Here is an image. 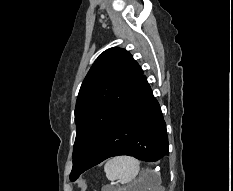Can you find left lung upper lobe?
I'll list each match as a JSON object with an SVG mask.
<instances>
[{
	"label": "left lung upper lobe",
	"mask_w": 233,
	"mask_h": 191,
	"mask_svg": "<svg viewBox=\"0 0 233 191\" xmlns=\"http://www.w3.org/2000/svg\"><path fill=\"white\" fill-rule=\"evenodd\" d=\"M132 55L121 48L104 51L86 75L76 102V139L70 177L80 172L107 126L142 77Z\"/></svg>",
	"instance_id": "5c2ea615"
}]
</instances>
